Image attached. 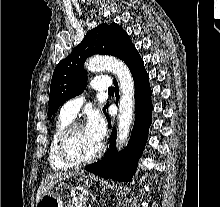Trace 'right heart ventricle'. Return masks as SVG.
I'll use <instances>...</instances> for the list:
<instances>
[{
	"label": "right heart ventricle",
	"mask_w": 220,
	"mask_h": 207,
	"mask_svg": "<svg viewBox=\"0 0 220 207\" xmlns=\"http://www.w3.org/2000/svg\"><path fill=\"white\" fill-rule=\"evenodd\" d=\"M70 123H72V119L62 114L59 115L56 121L48 149V160L53 170H67L71 167L60 158L57 146L60 134Z\"/></svg>",
	"instance_id": "1"
}]
</instances>
